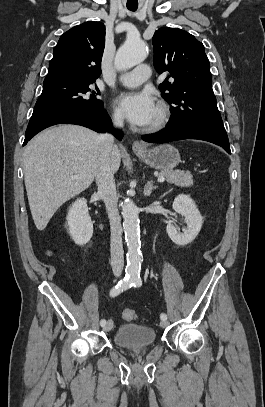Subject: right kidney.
Instances as JSON below:
<instances>
[{
	"label": "right kidney",
	"instance_id": "ca27d5eb",
	"mask_svg": "<svg viewBox=\"0 0 265 407\" xmlns=\"http://www.w3.org/2000/svg\"><path fill=\"white\" fill-rule=\"evenodd\" d=\"M66 224L76 245L84 246L90 241L93 235V223L85 198L77 199L72 204L66 217Z\"/></svg>",
	"mask_w": 265,
	"mask_h": 407
}]
</instances>
